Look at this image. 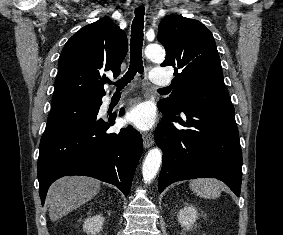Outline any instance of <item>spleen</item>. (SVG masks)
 Returning <instances> with one entry per match:
<instances>
[{
  "mask_svg": "<svg viewBox=\"0 0 283 235\" xmlns=\"http://www.w3.org/2000/svg\"><path fill=\"white\" fill-rule=\"evenodd\" d=\"M189 186L195 194L202 198H216L221 193V182L212 178L192 180Z\"/></svg>",
  "mask_w": 283,
  "mask_h": 235,
  "instance_id": "3e777b00",
  "label": "spleen"
}]
</instances>
